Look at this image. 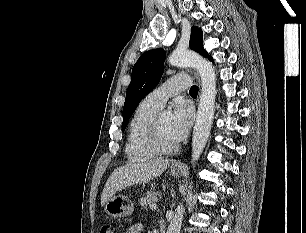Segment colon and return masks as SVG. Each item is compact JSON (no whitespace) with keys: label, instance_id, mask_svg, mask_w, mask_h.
<instances>
[{"label":"colon","instance_id":"colon-1","mask_svg":"<svg viewBox=\"0 0 306 233\" xmlns=\"http://www.w3.org/2000/svg\"><path fill=\"white\" fill-rule=\"evenodd\" d=\"M100 233H116V231L113 225L105 223L101 226Z\"/></svg>","mask_w":306,"mask_h":233}]
</instances>
